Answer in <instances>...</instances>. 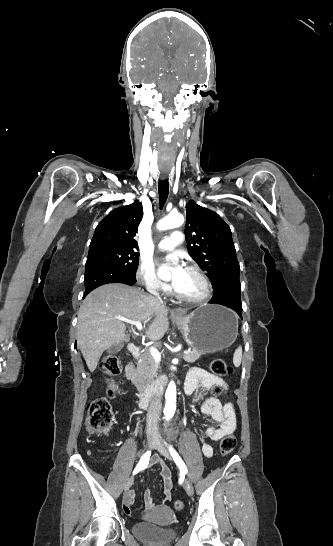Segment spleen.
<instances>
[{
    "instance_id": "spleen-1",
    "label": "spleen",
    "mask_w": 333,
    "mask_h": 546,
    "mask_svg": "<svg viewBox=\"0 0 333 546\" xmlns=\"http://www.w3.org/2000/svg\"><path fill=\"white\" fill-rule=\"evenodd\" d=\"M242 360V348L238 347L233 355V364L235 367H239Z\"/></svg>"
}]
</instances>
